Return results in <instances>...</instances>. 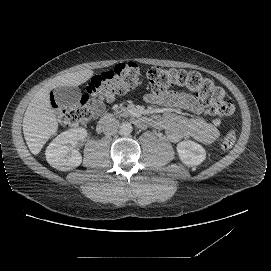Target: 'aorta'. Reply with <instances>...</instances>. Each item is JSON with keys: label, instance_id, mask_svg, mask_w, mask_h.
I'll use <instances>...</instances> for the list:
<instances>
[{"label": "aorta", "instance_id": "obj_1", "mask_svg": "<svg viewBox=\"0 0 271 271\" xmlns=\"http://www.w3.org/2000/svg\"><path fill=\"white\" fill-rule=\"evenodd\" d=\"M119 129L122 134L129 135L132 132V125L128 122H123Z\"/></svg>", "mask_w": 271, "mask_h": 271}]
</instances>
